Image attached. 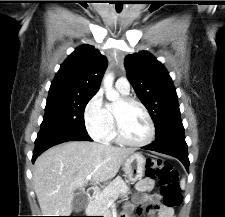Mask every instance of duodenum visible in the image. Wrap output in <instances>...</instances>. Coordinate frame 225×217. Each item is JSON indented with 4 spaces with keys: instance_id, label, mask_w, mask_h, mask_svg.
<instances>
[{
    "instance_id": "duodenum-1",
    "label": "duodenum",
    "mask_w": 225,
    "mask_h": 217,
    "mask_svg": "<svg viewBox=\"0 0 225 217\" xmlns=\"http://www.w3.org/2000/svg\"><path fill=\"white\" fill-rule=\"evenodd\" d=\"M94 196H95V192L93 190H88L87 191V199L89 201L93 200Z\"/></svg>"
}]
</instances>
